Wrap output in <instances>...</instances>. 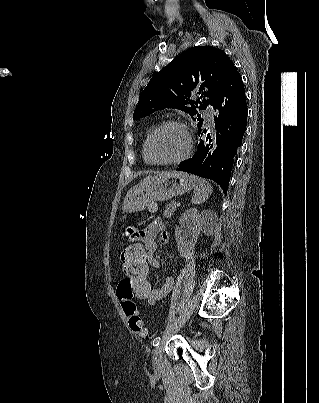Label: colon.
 Masks as SVG:
<instances>
[{
	"mask_svg": "<svg viewBox=\"0 0 319 403\" xmlns=\"http://www.w3.org/2000/svg\"><path fill=\"white\" fill-rule=\"evenodd\" d=\"M120 258L122 276L117 277L120 308L127 317L130 335L144 339L147 337V331L135 300H147L153 291L145 242H126L120 249ZM130 285L135 286V300L129 296Z\"/></svg>",
	"mask_w": 319,
	"mask_h": 403,
	"instance_id": "5ec220e1",
	"label": "colon"
}]
</instances>
